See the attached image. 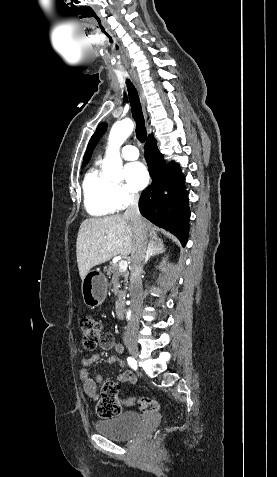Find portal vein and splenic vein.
I'll use <instances>...</instances> for the list:
<instances>
[{
    "label": "portal vein and splenic vein",
    "instance_id": "obj_1",
    "mask_svg": "<svg viewBox=\"0 0 277 477\" xmlns=\"http://www.w3.org/2000/svg\"><path fill=\"white\" fill-rule=\"evenodd\" d=\"M127 267H128V263L126 260H121L119 262V269L122 270V271H125L127 270Z\"/></svg>",
    "mask_w": 277,
    "mask_h": 477
}]
</instances>
